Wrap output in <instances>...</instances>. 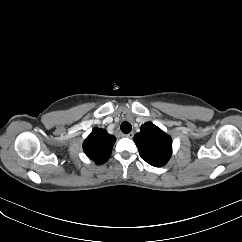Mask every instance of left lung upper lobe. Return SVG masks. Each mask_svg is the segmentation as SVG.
Instances as JSON below:
<instances>
[{"mask_svg": "<svg viewBox=\"0 0 242 242\" xmlns=\"http://www.w3.org/2000/svg\"><path fill=\"white\" fill-rule=\"evenodd\" d=\"M134 142L140 156L150 165L164 166L172 154V140L160 128L151 122L141 126L139 133L134 136Z\"/></svg>", "mask_w": 242, "mask_h": 242, "instance_id": "1", "label": "left lung upper lobe"}]
</instances>
